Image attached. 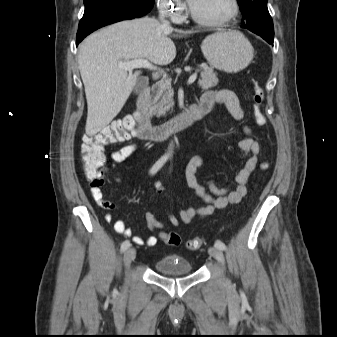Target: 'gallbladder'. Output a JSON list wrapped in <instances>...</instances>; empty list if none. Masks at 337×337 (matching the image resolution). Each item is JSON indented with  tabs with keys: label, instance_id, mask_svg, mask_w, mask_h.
<instances>
[{
	"label": "gallbladder",
	"instance_id": "gallbladder-1",
	"mask_svg": "<svg viewBox=\"0 0 337 337\" xmlns=\"http://www.w3.org/2000/svg\"><path fill=\"white\" fill-rule=\"evenodd\" d=\"M143 88L144 86L140 82H138L135 86V92L140 93L143 90Z\"/></svg>",
	"mask_w": 337,
	"mask_h": 337
}]
</instances>
